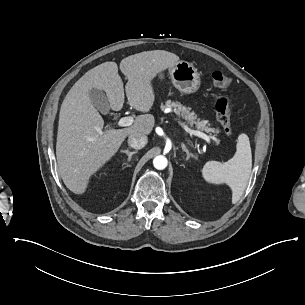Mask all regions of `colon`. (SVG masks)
<instances>
[{
	"mask_svg": "<svg viewBox=\"0 0 305 305\" xmlns=\"http://www.w3.org/2000/svg\"><path fill=\"white\" fill-rule=\"evenodd\" d=\"M212 81L215 87L219 89L228 88L231 84L230 76L221 70H215L212 75ZM214 110L216 113L217 120L224 132L227 135L233 134V127L231 123V110L232 104L226 98H219L214 103Z\"/></svg>",
	"mask_w": 305,
	"mask_h": 305,
	"instance_id": "1",
	"label": "colon"
}]
</instances>
